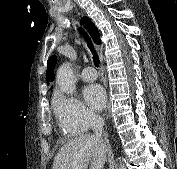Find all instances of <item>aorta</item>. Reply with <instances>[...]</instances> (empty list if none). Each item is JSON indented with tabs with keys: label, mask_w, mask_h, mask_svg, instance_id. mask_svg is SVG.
<instances>
[{
	"label": "aorta",
	"mask_w": 177,
	"mask_h": 169,
	"mask_svg": "<svg viewBox=\"0 0 177 169\" xmlns=\"http://www.w3.org/2000/svg\"><path fill=\"white\" fill-rule=\"evenodd\" d=\"M56 83L65 94H73L75 92L74 74L69 63H64L58 68ZM116 169H125V167L123 164H120Z\"/></svg>",
	"instance_id": "762f6f07"
}]
</instances>
